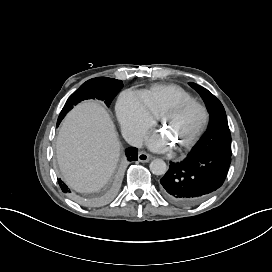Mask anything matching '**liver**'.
<instances>
[{"label":"liver","instance_id":"6515ba94","mask_svg":"<svg viewBox=\"0 0 272 272\" xmlns=\"http://www.w3.org/2000/svg\"><path fill=\"white\" fill-rule=\"evenodd\" d=\"M56 154L64 182L76 192H98L107 184L119 160L120 142L99 102H82L67 114L56 138Z\"/></svg>","mask_w":272,"mask_h":272}]
</instances>
